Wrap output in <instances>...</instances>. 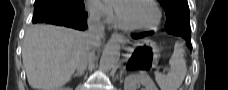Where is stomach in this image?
Returning <instances> with one entry per match:
<instances>
[{
	"instance_id": "obj_1",
	"label": "stomach",
	"mask_w": 228,
	"mask_h": 90,
	"mask_svg": "<svg viewBox=\"0 0 228 90\" xmlns=\"http://www.w3.org/2000/svg\"><path fill=\"white\" fill-rule=\"evenodd\" d=\"M138 45L140 50L136 56L130 59V64H136L143 69L156 67L159 58L158 46L150 40H144Z\"/></svg>"
}]
</instances>
